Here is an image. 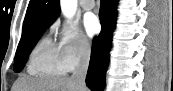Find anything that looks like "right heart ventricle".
<instances>
[{
    "instance_id": "1",
    "label": "right heart ventricle",
    "mask_w": 173,
    "mask_h": 91,
    "mask_svg": "<svg viewBox=\"0 0 173 91\" xmlns=\"http://www.w3.org/2000/svg\"><path fill=\"white\" fill-rule=\"evenodd\" d=\"M28 72L41 77L63 76L66 69L60 59L58 50L49 39H43L32 51Z\"/></svg>"
}]
</instances>
